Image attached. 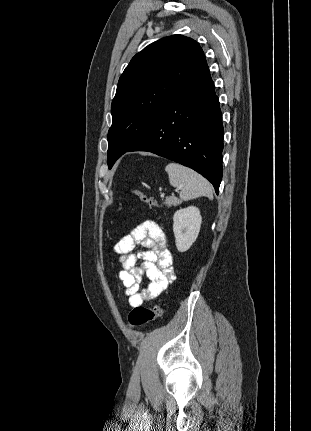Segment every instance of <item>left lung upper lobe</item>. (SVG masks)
Returning <instances> with one entry per match:
<instances>
[{"instance_id": "obj_1", "label": "left lung upper lobe", "mask_w": 311, "mask_h": 431, "mask_svg": "<svg viewBox=\"0 0 311 431\" xmlns=\"http://www.w3.org/2000/svg\"><path fill=\"white\" fill-rule=\"evenodd\" d=\"M204 61L200 45L183 35L155 41L132 58L112 101L109 168L144 137L163 107Z\"/></svg>"}]
</instances>
